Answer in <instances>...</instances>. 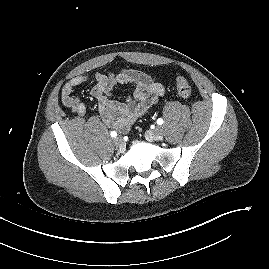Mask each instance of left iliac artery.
<instances>
[{"label": "left iliac artery", "mask_w": 269, "mask_h": 269, "mask_svg": "<svg viewBox=\"0 0 269 269\" xmlns=\"http://www.w3.org/2000/svg\"><path fill=\"white\" fill-rule=\"evenodd\" d=\"M163 122H164V121H163V119H162V118H159V119L157 120V124H158V125L163 124Z\"/></svg>", "instance_id": "1"}]
</instances>
